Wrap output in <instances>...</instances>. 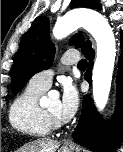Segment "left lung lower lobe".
<instances>
[{"label":"left lung lower lobe","mask_w":123,"mask_h":152,"mask_svg":"<svg viewBox=\"0 0 123 152\" xmlns=\"http://www.w3.org/2000/svg\"><path fill=\"white\" fill-rule=\"evenodd\" d=\"M123 34V32H121ZM122 53L119 58V71L117 74L118 82V106L117 110L121 112L123 106V39H121ZM83 54L89 60L85 79L91 81V71L93 66L94 51L91 48V43L88 41L82 49ZM121 121L115 120L111 123L101 120L99 114L93 105L89 95L83 99L82 114L78 125L73 132L75 142L90 148L93 151L113 152L117 145L120 144Z\"/></svg>","instance_id":"left-lung-lower-lobe-1"}]
</instances>
